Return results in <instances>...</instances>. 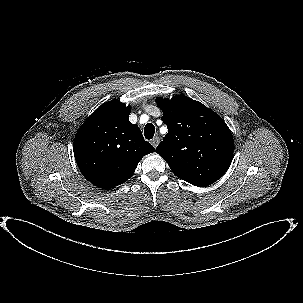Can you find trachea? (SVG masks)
Instances as JSON below:
<instances>
[{
    "instance_id": "1",
    "label": "trachea",
    "mask_w": 303,
    "mask_h": 303,
    "mask_svg": "<svg viewBox=\"0 0 303 303\" xmlns=\"http://www.w3.org/2000/svg\"><path fill=\"white\" fill-rule=\"evenodd\" d=\"M155 134V127L153 124L151 123H148L145 128H144V135H145V138L150 140L153 138Z\"/></svg>"
}]
</instances>
